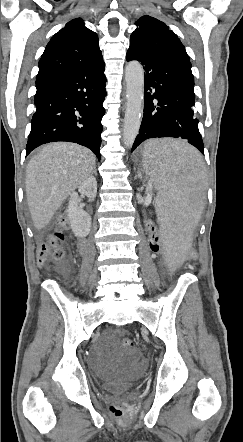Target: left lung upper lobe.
Instances as JSON below:
<instances>
[{
  "label": "left lung upper lobe",
  "mask_w": 243,
  "mask_h": 442,
  "mask_svg": "<svg viewBox=\"0 0 243 442\" xmlns=\"http://www.w3.org/2000/svg\"><path fill=\"white\" fill-rule=\"evenodd\" d=\"M131 34L130 43L140 49L190 63V58L180 39L165 23L150 16H143Z\"/></svg>",
  "instance_id": "5c2ea615"
}]
</instances>
